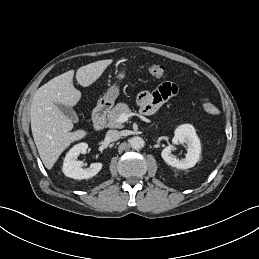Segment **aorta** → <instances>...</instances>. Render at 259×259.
I'll use <instances>...</instances> for the list:
<instances>
[{
	"instance_id": "1",
	"label": "aorta",
	"mask_w": 259,
	"mask_h": 259,
	"mask_svg": "<svg viewBox=\"0 0 259 259\" xmlns=\"http://www.w3.org/2000/svg\"><path fill=\"white\" fill-rule=\"evenodd\" d=\"M129 143H130L131 148L135 149V150L142 149L145 144L144 140L139 136L132 137L129 140Z\"/></svg>"
}]
</instances>
